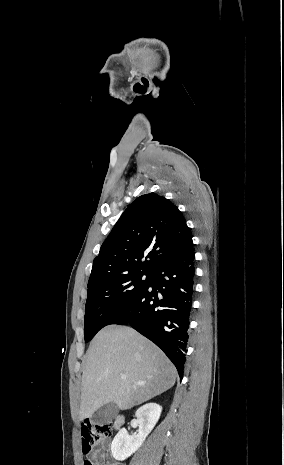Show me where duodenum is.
Masks as SVG:
<instances>
[{
    "label": "duodenum",
    "mask_w": 284,
    "mask_h": 465,
    "mask_svg": "<svg viewBox=\"0 0 284 465\" xmlns=\"http://www.w3.org/2000/svg\"><path fill=\"white\" fill-rule=\"evenodd\" d=\"M124 421H125L124 415L122 413H118L113 420V428L115 430H119L123 426Z\"/></svg>",
    "instance_id": "410a0bca"
}]
</instances>
